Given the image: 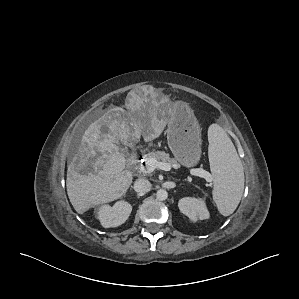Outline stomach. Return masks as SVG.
Segmentation results:
<instances>
[{
  "instance_id": "obj_1",
  "label": "stomach",
  "mask_w": 299,
  "mask_h": 299,
  "mask_svg": "<svg viewBox=\"0 0 299 299\" xmlns=\"http://www.w3.org/2000/svg\"><path fill=\"white\" fill-rule=\"evenodd\" d=\"M167 140L175 159L185 167L198 164L201 157V128L189 104L173 101L166 104Z\"/></svg>"
}]
</instances>
